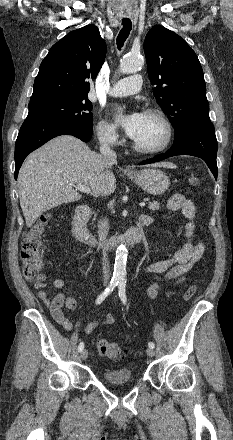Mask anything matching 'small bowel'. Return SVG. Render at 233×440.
<instances>
[{
  "mask_svg": "<svg viewBox=\"0 0 233 440\" xmlns=\"http://www.w3.org/2000/svg\"><path fill=\"white\" fill-rule=\"evenodd\" d=\"M167 208L170 211H181L187 219L185 226L186 241L170 258L150 263L146 267V271L148 273L162 275L169 281L180 282L190 273L194 263L202 257L205 251V243L202 240H194L196 208L190 199L186 198L183 194H174L169 198ZM34 286L38 290V297L50 310L53 319L63 329L72 331L74 326L65 315L63 308L65 307L69 313L74 312L77 305L76 300L73 297H66L61 292L57 293L53 298H49L45 290L46 281L43 284L35 282ZM53 286L57 289H61L65 286V281L63 279H55ZM158 291L159 288L157 285H151L147 289V294L150 298H154L158 294ZM113 322V316L106 314L99 320L89 323L84 328V332L87 334L92 333L98 327L110 325Z\"/></svg>",
  "mask_w": 233,
  "mask_h": 440,
  "instance_id": "small-bowel-1",
  "label": "small bowel"
}]
</instances>
